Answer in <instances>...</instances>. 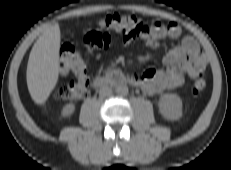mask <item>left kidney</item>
Masks as SVG:
<instances>
[{
	"mask_svg": "<svg viewBox=\"0 0 231 170\" xmlns=\"http://www.w3.org/2000/svg\"><path fill=\"white\" fill-rule=\"evenodd\" d=\"M159 110L168 120H178L182 117V100L176 94H164L159 99Z\"/></svg>",
	"mask_w": 231,
	"mask_h": 170,
	"instance_id": "5707ae66",
	"label": "left kidney"
}]
</instances>
